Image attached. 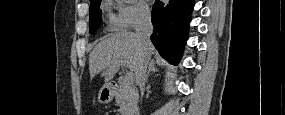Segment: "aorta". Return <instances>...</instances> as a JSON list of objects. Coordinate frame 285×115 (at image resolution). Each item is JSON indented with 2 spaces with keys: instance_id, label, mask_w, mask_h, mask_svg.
I'll list each match as a JSON object with an SVG mask.
<instances>
[{
  "instance_id": "aorta-1",
  "label": "aorta",
  "mask_w": 285,
  "mask_h": 115,
  "mask_svg": "<svg viewBox=\"0 0 285 115\" xmlns=\"http://www.w3.org/2000/svg\"><path fill=\"white\" fill-rule=\"evenodd\" d=\"M127 2H133V0H127Z\"/></svg>"
}]
</instances>
